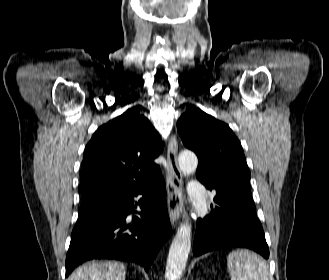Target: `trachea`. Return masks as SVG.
<instances>
[{
    "instance_id": "1",
    "label": "trachea",
    "mask_w": 329,
    "mask_h": 280,
    "mask_svg": "<svg viewBox=\"0 0 329 280\" xmlns=\"http://www.w3.org/2000/svg\"><path fill=\"white\" fill-rule=\"evenodd\" d=\"M175 184L178 185V183L176 182V180H175Z\"/></svg>"
}]
</instances>
